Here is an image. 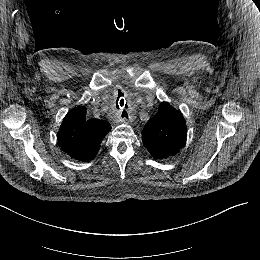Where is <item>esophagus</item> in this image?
<instances>
[{
	"mask_svg": "<svg viewBox=\"0 0 260 260\" xmlns=\"http://www.w3.org/2000/svg\"><path fill=\"white\" fill-rule=\"evenodd\" d=\"M119 121H122V122H124V123H127L128 122V118H119Z\"/></svg>",
	"mask_w": 260,
	"mask_h": 260,
	"instance_id": "esophagus-1",
	"label": "esophagus"
}]
</instances>
